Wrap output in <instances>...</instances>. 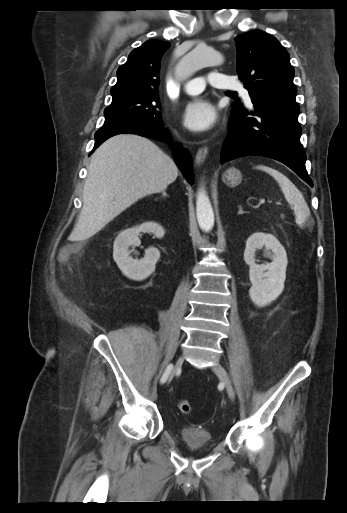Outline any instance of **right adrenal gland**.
<instances>
[{
	"label": "right adrenal gland",
	"mask_w": 347,
	"mask_h": 513,
	"mask_svg": "<svg viewBox=\"0 0 347 513\" xmlns=\"http://www.w3.org/2000/svg\"><path fill=\"white\" fill-rule=\"evenodd\" d=\"M167 196H168V195H167V193H166V190H164V191L162 192V197H163V198H165V197H167ZM162 197H161V198H162Z\"/></svg>",
	"instance_id": "obj_1"
}]
</instances>
